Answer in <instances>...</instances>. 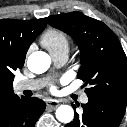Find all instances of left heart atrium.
I'll return each mask as SVG.
<instances>
[{"label":"left heart atrium","mask_w":127,"mask_h":127,"mask_svg":"<svg viewBox=\"0 0 127 127\" xmlns=\"http://www.w3.org/2000/svg\"><path fill=\"white\" fill-rule=\"evenodd\" d=\"M51 89H52V90H55V86H52Z\"/></svg>","instance_id":"1"}]
</instances>
